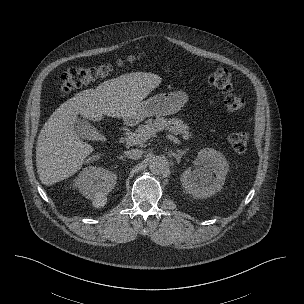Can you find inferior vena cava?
Returning a JSON list of instances; mask_svg holds the SVG:
<instances>
[{
  "label": "inferior vena cava",
  "instance_id": "inferior-vena-cava-1",
  "mask_svg": "<svg viewBox=\"0 0 304 304\" xmlns=\"http://www.w3.org/2000/svg\"><path fill=\"white\" fill-rule=\"evenodd\" d=\"M143 154V150L141 149H131L129 151L124 152V156L130 159H139Z\"/></svg>",
  "mask_w": 304,
  "mask_h": 304
}]
</instances>
